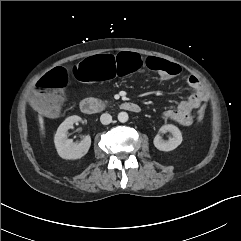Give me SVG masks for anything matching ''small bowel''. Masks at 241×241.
<instances>
[{
	"label": "small bowel",
	"mask_w": 241,
	"mask_h": 241,
	"mask_svg": "<svg viewBox=\"0 0 241 241\" xmlns=\"http://www.w3.org/2000/svg\"><path fill=\"white\" fill-rule=\"evenodd\" d=\"M187 83L194 92L182 100L175 109H168L164 112L166 119L175 121L182 126H190L193 123L192 111L207 100V92L196 76H189Z\"/></svg>",
	"instance_id": "c3829d8e"
}]
</instances>
